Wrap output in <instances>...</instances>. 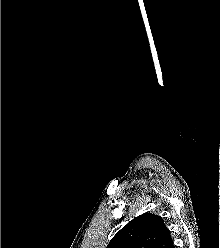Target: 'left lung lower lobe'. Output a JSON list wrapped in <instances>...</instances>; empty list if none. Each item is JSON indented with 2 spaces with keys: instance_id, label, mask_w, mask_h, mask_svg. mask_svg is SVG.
<instances>
[{
  "instance_id": "left-lung-lower-lobe-1",
  "label": "left lung lower lobe",
  "mask_w": 220,
  "mask_h": 248,
  "mask_svg": "<svg viewBox=\"0 0 220 248\" xmlns=\"http://www.w3.org/2000/svg\"><path fill=\"white\" fill-rule=\"evenodd\" d=\"M169 248H175V247H174V244L172 243L171 246H170Z\"/></svg>"
}]
</instances>
